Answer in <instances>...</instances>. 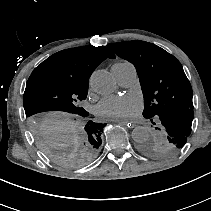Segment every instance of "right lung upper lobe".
Here are the masks:
<instances>
[{
  "label": "right lung upper lobe",
  "instance_id": "cb5924a9",
  "mask_svg": "<svg viewBox=\"0 0 211 211\" xmlns=\"http://www.w3.org/2000/svg\"><path fill=\"white\" fill-rule=\"evenodd\" d=\"M106 58H115L106 47L84 46L65 49L43 61L33 70L31 76L45 74L88 82L92 72Z\"/></svg>",
  "mask_w": 211,
  "mask_h": 211
}]
</instances>
